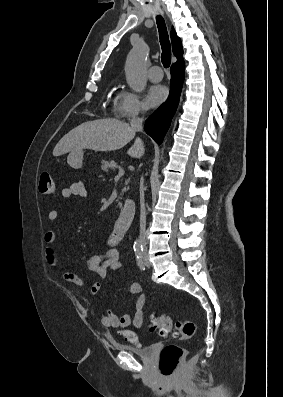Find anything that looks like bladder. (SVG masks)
I'll return each mask as SVG.
<instances>
[{
    "label": "bladder",
    "instance_id": "1",
    "mask_svg": "<svg viewBox=\"0 0 283 397\" xmlns=\"http://www.w3.org/2000/svg\"><path fill=\"white\" fill-rule=\"evenodd\" d=\"M158 347H159L158 343H152L142 347H134L123 344L118 345L119 349L132 353L144 360H151L152 358H154L158 350Z\"/></svg>",
    "mask_w": 283,
    "mask_h": 397
}]
</instances>
